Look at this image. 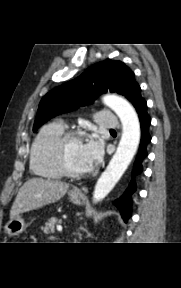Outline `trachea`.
Listing matches in <instances>:
<instances>
[{
    "mask_svg": "<svg viewBox=\"0 0 181 288\" xmlns=\"http://www.w3.org/2000/svg\"><path fill=\"white\" fill-rule=\"evenodd\" d=\"M110 131H115L114 129H111Z\"/></svg>",
    "mask_w": 181,
    "mask_h": 288,
    "instance_id": "trachea-1",
    "label": "trachea"
}]
</instances>
